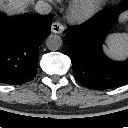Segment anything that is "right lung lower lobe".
Instances as JSON below:
<instances>
[{"mask_svg":"<svg viewBox=\"0 0 128 128\" xmlns=\"http://www.w3.org/2000/svg\"><path fill=\"white\" fill-rule=\"evenodd\" d=\"M52 15L0 13V83L18 85L35 76L39 44L51 31Z\"/></svg>","mask_w":128,"mask_h":128,"instance_id":"obj_1","label":"right lung lower lobe"}]
</instances>
